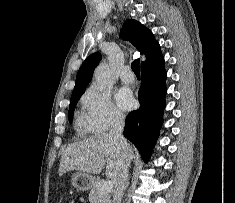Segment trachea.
Returning <instances> with one entry per match:
<instances>
[{"instance_id": "obj_1", "label": "trachea", "mask_w": 235, "mask_h": 203, "mask_svg": "<svg viewBox=\"0 0 235 203\" xmlns=\"http://www.w3.org/2000/svg\"><path fill=\"white\" fill-rule=\"evenodd\" d=\"M131 68L136 76H140V66H139V60L136 59L132 62Z\"/></svg>"}]
</instances>
